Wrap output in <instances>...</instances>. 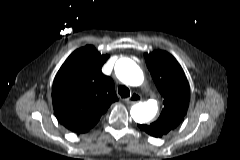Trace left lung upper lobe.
Instances as JSON below:
<instances>
[{
    "label": "left lung upper lobe",
    "instance_id": "left-lung-upper-lobe-1",
    "mask_svg": "<svg viewBox=\"0 0 240 160\" xmlns=\"http://www.w3.org/2000/svg\"><path fill=\"white\" fill-rule=\"evenodd\" d=\"M144 56L155 85L164 99L161 115L149 126L165 135L183 120L190 101V87L182 67L171 54L157 50Z\"/></svg>",
    "mask_w": 240,
    "mask_h": 160
}]
</instances>
